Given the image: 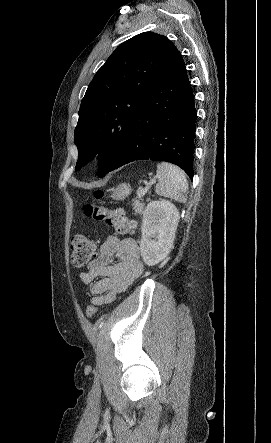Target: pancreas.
Here are the masks:
<instances>
[{
  "mask_svg": "<svg viewBox=\"0 0 271 443\" xmlns=\"http://www.w3.org/2000/svg\"><path fill=\"white\" fill-rule=\"evenodd\" d=\"M133 208L135 210V216H137V214H143L144 212V204H141L139 200H133Z\"/></svg>",
  "mask_w": 271,
  "mask_h": 443,
  "instance_id": "cf45deb5",
  "label": "pancreas"
}]
</instances>
